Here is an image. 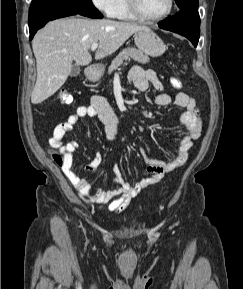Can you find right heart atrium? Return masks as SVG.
<instances>
[{"instance_id": "obj_1", "label": "right heart atrium", "mask_w": 243, "mask_h": 289, "mask_svg": "<svg viewBox=\"0 0 243 289\" xmlns=\"http://www.w3.org/2000/svg\"><path fill=\"white\" fill-rule=\"evenodd\" d=\"M93 5L107 15H111L118 0H91Z\"/></svg>"}]
</instances>
